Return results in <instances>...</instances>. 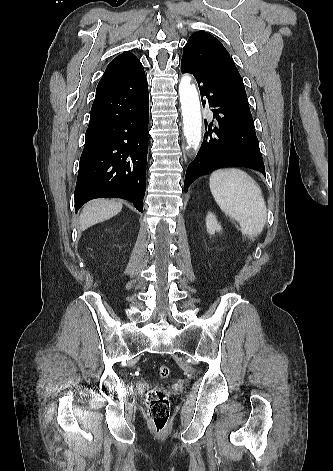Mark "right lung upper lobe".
Listing matches in <instances>:
<instances>
[{"instance_id": "obj_1", "label": "right lung upper lobe", "mask_w": 333, "mask_h": 471, "mask_svg": "<svg viewBox=\"0 0 333 471\" xmlns=\"http://www.w3.org/2000/svg\"><path fill=\"white\" fill-rule=\"evenodd\" d=\"M144 73L143 66L135 55L124 52L108 65L98 83L96 96L126 87Z\"/></svg>"}]
</instances>
